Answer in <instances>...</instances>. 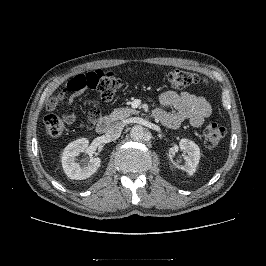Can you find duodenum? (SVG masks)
Here are the masks:
<instances>
[{"instance_id":"410a0bca","label":"duodenum","mask_w":266,"mask_h":266,"mask_svg":"<svg viewBox=\"0 0 266 266\" xmlns=\"http://www.w3.org/2000/svg\"><path fill=\"white\" fill-rule=\"evenodd\" d=\"M154 118L160 119L162 117V113L158 110H154L152 112ZM110 126V120L108 118L101 117L96 120L94 127L98 134H104L108 131Z\"/></svg>"}]
</instances>
